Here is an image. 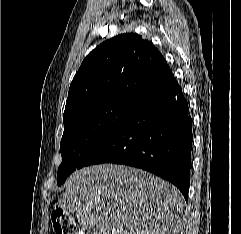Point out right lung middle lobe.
<instances>
[{"instance_id": "dd1d6c3e", "label": "right lung middle lobe", "mask_w": 241, "mask_h": 234, "mask_svg": "<svg viewBox=\"0 0 241 234\" xmlns=\"http://www.w3.org/2000/svg\"><path fill=\"white\" fill-rule=\"evenodd\" d=\"M133 103L109 101L77 109L63 117L64 133L60 143L62 163L57 184L80 168V163L130 111Z\"/></svg>"}]
</instances>
